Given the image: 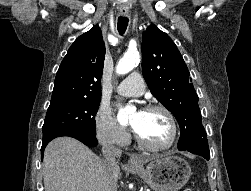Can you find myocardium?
Listing matches in <instances>:
<instances>
[{"label": "myocardium", "mask_w": 251, "mask_h": 191, "mask_svg": "<svg viewBox=\"0 0 251 191\" xmlns=\"http://www.w3.org/2000/svg\"><path fill=\"white\" fill-rule=\"evenodd\" d=\"M145 111H161L163 112L171 124L172 129V136L171 140L168 144L164 146H154L149 144L137 131L135 132V138L140 147H142L145 150L152 151V152H163L168 151L172 148H174L178 142L179 139V128L177 124V120L174 116V114L165 106L159 105V104H151L148 105L145 108Z\"/></svg>", "instance_id": "myocardium-1"}]
</instances>
